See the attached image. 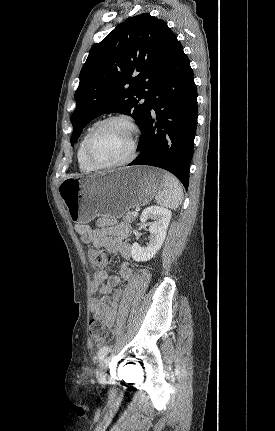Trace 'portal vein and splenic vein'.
Listing matches in <instances>:
<instances>
[{"label":"portal vein and splenic vein","instance_id":"18ae733b","mask_svg":"<svg viewBox=\"0 0 275 431\" xmlns=\"http://www.w3.org/2000/svg\"><path fill=\"white\" fill-rule=\"evenodd\" d=\"M132 214L134 215V216H137L138 215V211L136 210V211H133L132 212Z\"/></svg>","mask_w":275,"mask_h":431}]
</instances>
